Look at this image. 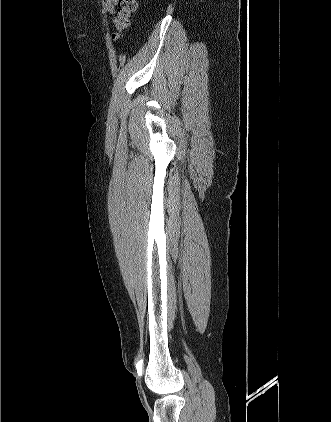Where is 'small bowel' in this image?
<instances>
[{
    "mask_svg": "<svg viewBox=\"0 0 331 422\" xmlns=\"http://www.w3.org/2000/svg\"><path fill=\"white\" fill-rule=\"evenodd\" d=\"M118 4L119 0H102L103 10L109 15L115 14Z\"/></svg>",
    "mask_w": 331,
    "mask_h": 422,
    "instance_id": "c3829d8e",
    "label": "small bowel"
}]
</instances>
